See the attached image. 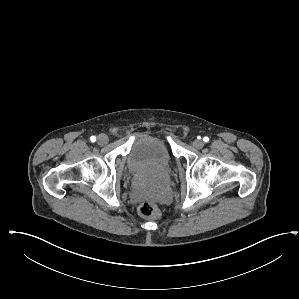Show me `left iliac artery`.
I'll list each match as a JSON object with an SVG mask.
<instances>
[{
  "mask_svg": "<svg viewBox=\"0 0 299 299\" xmlns=\"http://www.w3.org/2000/svg\"><path fill=\"white\" fill-rule=\"evenodd\" d=\"M203 141H204V142H208V141H209V138H208V137H204V138H203Z\"/></svg>",
  "mask_w": 299,
  "mask_h": 299,
  "instance_id": "left-iliac-artery-1",
  "label": "left iliac artery"
}]
</instances>
